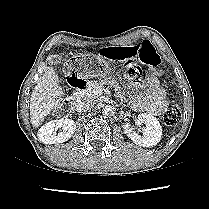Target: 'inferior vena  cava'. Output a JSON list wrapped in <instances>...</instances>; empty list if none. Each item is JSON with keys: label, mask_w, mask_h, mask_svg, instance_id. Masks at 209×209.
<instances>
[{"label": "inferior vena cava", "mask_w": 209, "mask_h": 209, "mask_svg": "<svg viewBox=\"0 0 209 209\" xmlns=\"http://www.w3.org/2000/svg\"><path fill=\"white\" fill-rule=\"evenodd\" d=\"M96 101L92 98H83L79 103V109L81 111H90L94 108Z\"/></svg>", "instance_id": "inferior-vena-cava-1"}]
</instances>
